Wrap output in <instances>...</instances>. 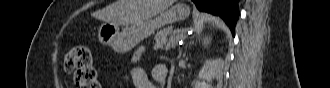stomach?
Wrapping results in <instances>:
<instances>
[{"instance_id": "1", "label": "stomach", "mask_w": 330, "mask_h": 88, "mask_svg": "<svg viewBox=\"0 0 330 88\" xmlns=\"http://www.w3.org/2000/svg\"><path fill=\"white\" fill-rule=\"evenodd\" d=\"M189 14L190 9L187 5L176 4L161 12L156 18L132 24L121 32L117 24L105 22L98 29V40L104 45L111 46L118 53H126L159 28L185 20Z\"/></svg>"}]
</instances>
